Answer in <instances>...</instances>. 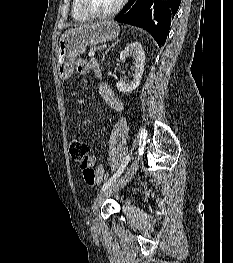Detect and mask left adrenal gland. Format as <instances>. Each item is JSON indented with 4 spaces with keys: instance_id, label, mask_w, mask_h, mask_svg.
I'll return each mask as SVG.
<instances>
[{
    "instance_id": "left-adrenal-gland-1",
    "label": "left adrenal gland",
    "mask_w": 233,
    "mask_h": 263,
    "mask_svg": "<svg viewBox=\"0 0 233 263\" xmlns=\"http://www.w3.org/2000/svg\"><path fill=\"white\" fill-rule=\"evenodd\" d=\"M117 43H118V40L115 41V43H113V44L104 52L102 61H104L105 55L107 54V52H108L112 47H114Z\"/></svg>"
}]
</instances>
